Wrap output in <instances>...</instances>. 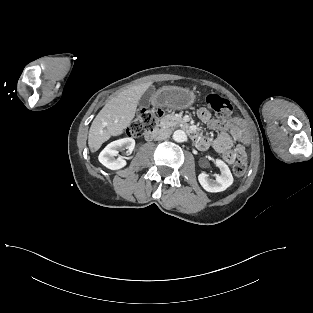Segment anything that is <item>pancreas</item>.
Returning a JSON list of instances; mask_svg holds the SVG:
<instances>
[{
  "instance_id": "obj_1",
  "label": "pancreas",
  "mask_w": 313,
  "mask_h": 313,
  "mask_svg": "<svg viewBox=\"0 0 313 313\" xmlns=\"http://www.w3.org/2000/svg\"><path fill=\"white\" fill-rule=\"evenodd\" d=\"M161 123L167 127L183 126L184 125L182 118L177 114H170V115L164 116Z\"/></svg>"
}]
</instances>
